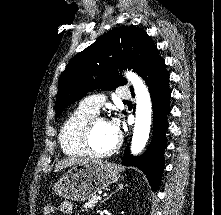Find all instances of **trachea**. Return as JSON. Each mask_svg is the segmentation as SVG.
Here are the masks:
<instances>
[{"label": "trachea", "mask_w": 221, "mask_h": 215, "mask_svg": "<svg viewBox=\"0 0 221 215\" xmlns=\"http://www.w3.org/2000/svg\"><path fill=\"white\" fill-rule=\"evenodd\" d=\"M123 102H128V100H124Z\"/></svg>", "instance_id": "obj_1"}]
</instances>
